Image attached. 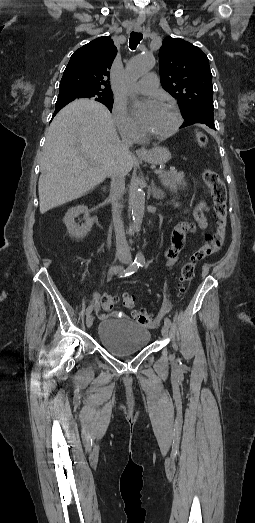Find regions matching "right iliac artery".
<instances>
[{"label":"right iliac artery","mask_w":255,"mask_h":523,"mask_svg":"<svg viewBox=\"0 0 255 523\" xmlns=\"http://www.w3.org/2000/svg\"><path fill=\"white\" fill-rule=\"evenodd\" d=\"M139 266H140V262L139 261H134L127 269H125L121 273V277L129 276V275L133 274L134 272L137 271ZM91 311H92V306H88V308L86 309V315L90 314Z\"/></svg>","instance_id":"right-iliac-artery-1"}]
</instances>
